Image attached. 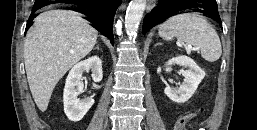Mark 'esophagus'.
<instances>
[{
	"label": "esophagus",
	"instance_id": "esophagus-1",
	"mask_svg": "<svg viewBox=\"0 0 257 130\" xmlns=\"http://www.w3.org/2000/svg\"><path fill=\"white\" fill-rule=\"evenodd\" d=\"M155 6V0H147V11H150Z\"/></svg>",
	"mask_w": 257,
	"mask_h": 130
}]
</instances>
